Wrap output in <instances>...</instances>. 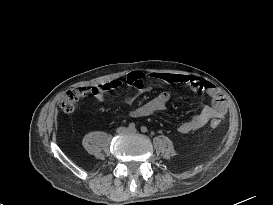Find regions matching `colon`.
Wrapping results in <instances>:
<instances>
[{
	"instance_id": "colon-1",
	"label": "colon",
	"mask_w": 273,
	"mask_h": 205,
	"mask_svg": "<svg viewBox=\"0 0 273 205\" xmlns=\"http://www.w3.org/2000/svg\"><path fill=\"white\" fill-rule=\"evenodd\" d=\"M87 92L83 88H75L64 92L59 99V107L65 113L73 112L79 102L86 96ZM213 129H217L220 126V121L214 119L210 123Z\"/></svg>"
}]
</instances>
